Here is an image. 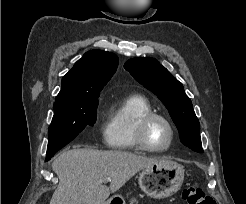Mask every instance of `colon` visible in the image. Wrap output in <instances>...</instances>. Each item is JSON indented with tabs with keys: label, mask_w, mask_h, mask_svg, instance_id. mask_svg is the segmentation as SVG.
Returning <instances> with one entry per match:
<instances>
[{
	"label": "colon",
	"mask_w": 246,
	"mask_h": 204,
	"mask_svg": "<svg viewBox=\"0 0 246 204\" xmlns=\"http://www.w3.org/2000/svg\"><path fill=\"white\" fill-rule=\"evenodd\" d=\"M182 198L187 204H216L215 200L207 195L200 187L193 185L182 192Z\"/></svg>",
	"instance_id": "5ec220e1"
}]
</instances>
